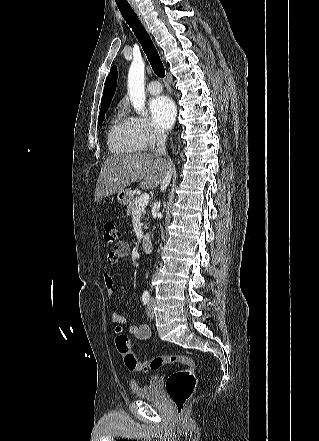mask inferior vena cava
I'll use <instances>...</instances> for the list:
<instances>
[{
  "instance_id": "1",
  "label": "inferior vena cava",
  "mask_w": 319,
  "mask_h": 441,
  "mask_svg": "<svg viewBox=\"0 0 319 441\" xmlns=\"http://www.w3.org/2000/svg\"><path fill=\"white\" fill-rule=\"evenodd\" d=\"M155 156L160 157L164 156L167 157V151H166V134L164 133H157V149L155 151ZM168 172L165 174L162 183H161V191L164 192L166 190L167 186L170 183L171 180V164L168 162Z\"/></svg>"
}]
</instances>
